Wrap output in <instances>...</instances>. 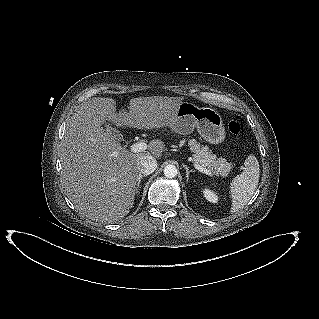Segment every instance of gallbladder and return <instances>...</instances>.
I'll return each instance as SVG.
<instances>
[{"label":"gallbladder","instance_id":"obj_1","mask_svg":"<svg viewBox=\"0 0 319 319\" xmlns=\"http://www.w3.org/2000/svg\"><path fill=\"white\" fill-rule=\"evenodd\" d=\"M106 130L116 140H118V141H122L123 140L122 134L115 127H113L112 125L107 124L106 125Z\"/></svg>","mask_w":319,"mask_h":319}]
</instances>
